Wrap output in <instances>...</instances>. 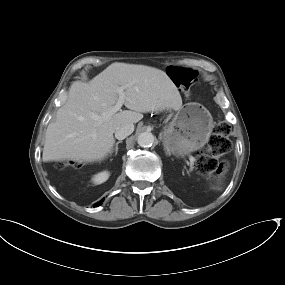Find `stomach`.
<instances>
[{"label": "stomach", "instance_id": "1", "mask_svg": "<svg viewBox=\"0 0 285 285\" xmlns=\"http://www.w3.org/2000/svg\"><path fill=\"white\" fill-rule=\"evenodd\" d=\"M209 111L197 103L182 106L161 133L165 148L176 156H185L202 148L212 133Z\"/></svg>", "mask_w": 285, "mask_h": 285}]
</instances>
